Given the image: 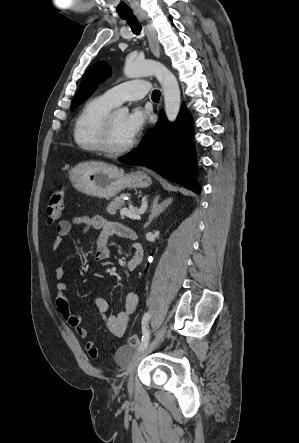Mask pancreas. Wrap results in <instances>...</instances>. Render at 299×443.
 I'll use <instances>...</instances> for the list:
<instances>
[{"instance_id":"cf45deb5","label":"pancreas","mask_w":299,"mask_h":443,"mask_svg":"<svg viewBox=\"0 0 299 443\" xmlns=\"http://www.w3.org/2000/svg\"><path fill=\"white\" fill-rule=\"evenodd\" d=\"M124 195H121L120 197H115L107 207V211L111 215H115L117 213V210L120 209L124 205Z\"/></svg>"}]
</instances>
